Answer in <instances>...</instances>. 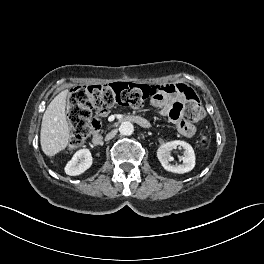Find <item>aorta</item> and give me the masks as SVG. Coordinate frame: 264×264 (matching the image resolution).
I'll return each mask as SVG.
<instances>
[{
	"label": "aorta",
	"instance_id": "762f6f07",
	"mask_svg": "<svg viewBox=\"0 0 264 264\" xmlns=\"http://www.w3.org/2000/svg\"><path fill=\"white\" fill-rule=\"evenodd\" d=\"M119 131L122 135H132L134 132V126L131 122L125 121L120 124Z\"/></svg>",
	"mask_w": 264,
	"mask_h": 264
}]
</instances>
